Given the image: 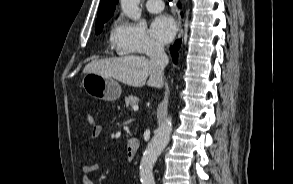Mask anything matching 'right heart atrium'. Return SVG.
Returning <instances> with one entry per match:
<instances>
[{"label": "right heart atrium", "mask_w": 293, "mask_h": 184, "mask_svg": "<svg viewBox=\"0 0 293 184\" xmlns=\"http://www.w3.org/2000/svg\"><path fill=\"white\" fill-rule=\"evenodd\" d=\"M113 45L123 55H155L162 52V46L149 35L143 24L124 17H119L115 23Z\"/></svg>", "instance_id": "d8ad5b80"}]
</instances>
